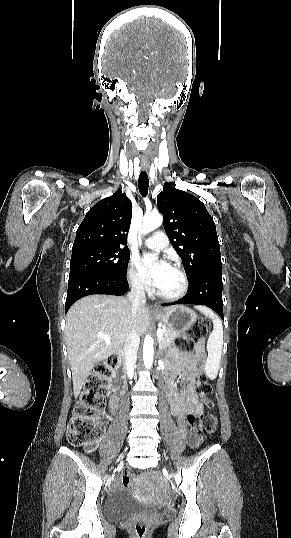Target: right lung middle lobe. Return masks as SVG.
I'll use <instances>...</instances> for the list:
<instances>
[{
    "mask_svg": "<svg viewBox=\"0 0 291 538\" xmlns=\"http://www.w3.org/2000/svg\"><path fill=\"white\" fill-rule=\"evenodd\" d=\"M130 252L116 246H87L72 250L69 277L83 273L126 277Z\"/></svg>",
    "mask_w": 291,
    "mask_h": 538,
    "instance_id": "dd1d6c3e",
    "label": "right lung middle lobe"
}]
</instances>
